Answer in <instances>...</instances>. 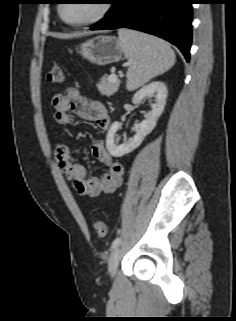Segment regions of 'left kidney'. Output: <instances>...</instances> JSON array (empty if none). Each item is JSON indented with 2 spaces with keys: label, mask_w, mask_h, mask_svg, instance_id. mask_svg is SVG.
<instances>
[{
  "label": "left kidney",
  "mask_w": 236,
  "mask_h": 321,
  "mask_svg": "<svg viewBox=\"0 0 236 321\" xmlns=\"http://www.w3.org/2000/svg\"><path fill=\"white\" fill-rule=\"evenodd\" d=\"M167 94L168 91L165 84L159 81L152 82L135 93L132 98L134 104H140L145 97H154L155 103L152 105L151 111L145 115V119L141 123L135 124V135L127 142L120 145L115 143L116 132L120 129L121 124L114 122L111 125L107 133L106 147L112 156L121 157L132 152L151 133L164 110Z\"/></svg>",
  "instance_id": "1"
}]
</instances>
